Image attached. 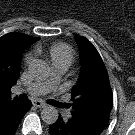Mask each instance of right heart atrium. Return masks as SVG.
<instances>
[{"mask_svg":"<svg viewBox=\"0 0 135 135\" xmlns=\"http://www.w3.org/2000/svg\"><path fill=\"white\" fill-rule=\"evenodd\" d=\"M31 61H32V54L31 53L26 54L24 58L25 64H30Z\"/></svg>","mask_w":135,"mask_h":135,"instance_id":"right-heart-atrium-1","label":"right heart atrium"}]
</instances>
